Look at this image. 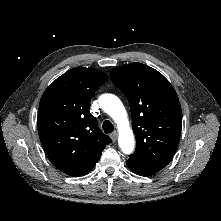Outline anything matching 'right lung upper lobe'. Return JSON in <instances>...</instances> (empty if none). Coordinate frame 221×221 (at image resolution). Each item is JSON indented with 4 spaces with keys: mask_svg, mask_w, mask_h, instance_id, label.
<instances>
[{
    "mask_svg": "<svg viewBox=\"0 0 221 221\" xmlns=\"http://www.w3.org/2000/svg\"><path fill=\"white\" fill-rule=\"evenodd\" d=\"M108 76L75 67L45 90L38 109V134L49 160L71 176L89 173L111 139L98 127L89 105Z\"/></svg>",
    "mask_w": 221,
    "mask_h": 221,
    "instance_id": "cb5924a9",
    "label": "right lung upper lobe"
}]
</instances>
